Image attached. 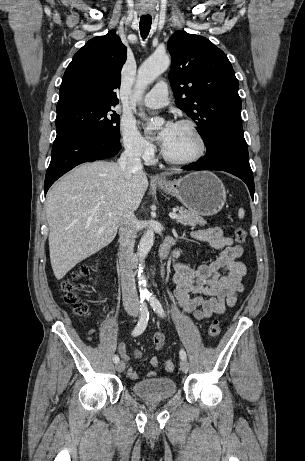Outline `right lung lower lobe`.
I'll use <instances>...</instances> for the list:
<instances>
[{"mask_svg": "<svg viewBox=\"0 0 305 461\" xmlns=\"http://www.w3.org/2000/svg\"><path fill=\"white\" fill-rule=\"evenodd\" d=\"M121 149L120 143L93 135L63 136L56 138L47 169L44 191L63 174L75 166L95 160L109 159Z\"/></svg>", "mask_w": 305, "mask_h": 461, "instance_id": "1", "label": "right lung lower lobe"}]
</instances>
